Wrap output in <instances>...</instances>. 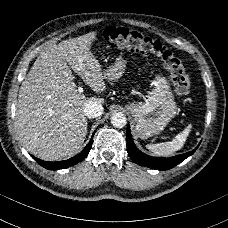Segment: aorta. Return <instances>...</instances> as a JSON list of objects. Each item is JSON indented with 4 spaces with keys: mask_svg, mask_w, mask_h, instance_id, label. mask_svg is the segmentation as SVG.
Segmentation results:
<instances>
[{
    "mask_svg": "<svg viewBox=\"0 0 228 228\" xmlns=\"http://www.w3.org/2000/svg\"><path fill=\"white\" fill-rule=\"evenodd\" d=\"M111 123L116 128H123L127 124V117L123 113H120V112L115 113L111 117Z\"/></svg>",
    "mask_w": 228,
    "mask_h": 228,
    "instance_id": "1",
    "label": "aorta"
}]
</instances>
